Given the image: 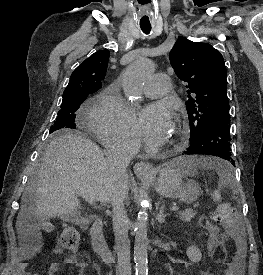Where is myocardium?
<instances>
[{"label": "myocardium", "instance_id": "1", "mask_svg": "<svg viewBox=\"0 0 263 275\" xmlns=\"http://www.w3.org/2000/svg\"><path fill=\"white\" fill-rule=\"evenodd\" d=\"M176 137L171 143L173 147L179 146L185 139V130L181 125H175Z\"/></svg>", "mask_w": 263, "mask_h": 275}]
</instances>
